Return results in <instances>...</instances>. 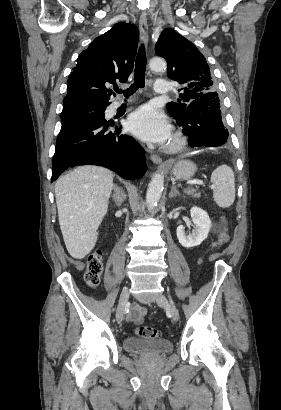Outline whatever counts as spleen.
<instances>
[{
    "label": "spleen",
    "instance_id": "obj_1",
    "mask_svg": "<svg viewBox=\"0 0 281 410\" xmlns=\"http://www.w3.org/2000/svg\"><path fill=\"white\" fill-rule=\"evenodd\" d=\"M213 197L221 208L230 207L235 200V178L227 165L217 167L211 174Z\"/></svg>",
    "mask_w": 281,
    "mask_h": 410
}]
</instances>
